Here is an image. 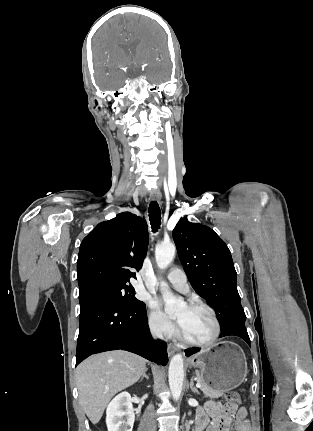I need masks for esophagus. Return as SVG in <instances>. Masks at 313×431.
<instances>
[{"mask_svg": "<svg viewBox=\"0 0 313 431\" xmlns=\"http://www.w3.org/2000/svg\"><path fill=\"white\" fill-rule=\"evenodd\" d=\"M150 200L152 201H159L160 200V194L157 191H152L149 195ZM179 350V348L176 345L169 344L168 345V352L169 354H174Z\"/></svg>", "mask_w": 313, "mask_h": 431, "instance_id": "34e87169", "label": "esophagus"}]
</instances>
